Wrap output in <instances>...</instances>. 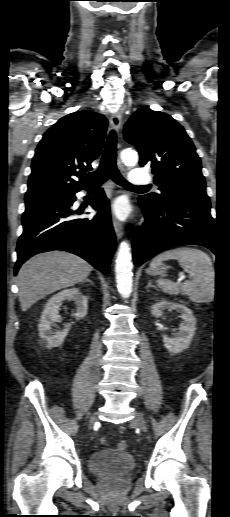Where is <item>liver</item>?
<instances>
[{"label":"liver","mask_w":230,"mask_h":517,"mask_svg":"<svg viewBox=\"0 0 230 517\" xmlns=\"http://www.w3.org/2000/svg\"><path fill=\"white\" fill-rule=\"evenodd\" d=\"M93 267L79 256L51 251L31 257L17 276L19 302L27 311L41 298L85 280Z\"/></svg>","instance_id":"liver-1"}]
</instances>
